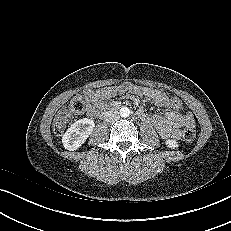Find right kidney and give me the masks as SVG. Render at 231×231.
<instances>
[{
    "instance_id": "obj_1",
    "label": "right kidney",
    "mask_w": 231,
    "mask_h": 231,
    "mask_svg": "<svg viewBox=\"0 0 231 231\" xmlns=\"http://www.w3.org/2000/svg\"><path fill=\"white\" fill-rule=\"evenodd\" d=\"M95 127L94 121L88 118L79 119L74 122L62 137L65 149L74 151L84 144Z\"/></svg>"
}]
</instances>
